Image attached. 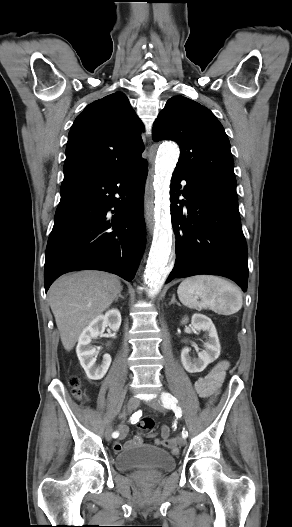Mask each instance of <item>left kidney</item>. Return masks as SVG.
Instances as JSON below:
<instances>
[{
    "label": "left kidney",
    "mask_w": 292,
    "mask_h": 527,
    "mask_svg": "<svg viewBox=\"0 0 292 527\" xmlns=\"http://www.w3.org/2000/svg\"><path fill=\"white\" fill-rule=\"evenodd\" d=\"M187 322L188 319L185 318L181 323L185 324ZM191 324L195 330H203L209 336L208 341L204 344L205 349L198 353V359L190 357V349L188 347L183 348L181 351V362L186 371L198 373L202 372L208 364L219 357L221 346L216 328L209 317L203 314H194L191 318Z\"/></svg>",
    "instance_id": "5707ae66"
}]
</instances>
